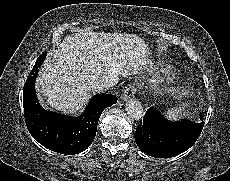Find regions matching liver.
<instances>
[{
  "instance_id": "liver-1",
  "label": "liver",
  "mask_w": 230,
  "mask_h": 181,
  "mask_svg": "<svg viewBox=\"0 0 230 181\" xmlns=\"http://www.w3.org/2000/svg\"><path fill=\"white\" fill-rule=\"evenodd\" d=\"M132 37L86 31L67 36L40 69L39 97L57 111L71 114L88 102L95 81L146 70L149 50Z\"/></svg>"
}]
</instances>
